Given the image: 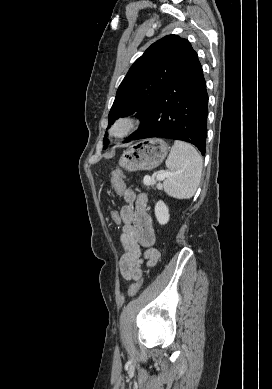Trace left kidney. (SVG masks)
Wrapping results in <instances>:
<instances>
[{
    "instance_id": "1",
    "label": "left kidney",
    "mask_w": 272,
    "mask_h": 389,
    "mask_svg": "<svg viewBox=\"0 0 272 389\" xmlns=\"http://www.w3.org/2000/svg\"><path fill=\"white\" fill-rule=\"evenodd\" d=\"M155 216L161 225L167 224L169 221V209L162 200H159L155 205Z\"/></svg>"
}]
</instances>
